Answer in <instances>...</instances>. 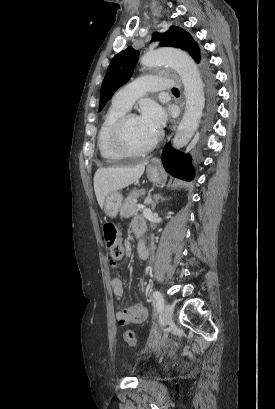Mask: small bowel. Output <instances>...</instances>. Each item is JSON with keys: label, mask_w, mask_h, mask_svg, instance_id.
<instances>
[{"label": "small bowel", "mask_w": 275, "mask_h": 409, "mask_svg": "<svg viewBox=\"0 0 275 409\" xmlns=\"http://www.w3.org/2000/svg\"><path fill=\"white\" fill-rule=\"evenodd\" d=\"M137 220H142V219H136L133 222V228H134V224H135V222ZM129 252H130V250L127 249V253H129ZM139 255L143 260L147 259L148 250L146 249L145 255H141L140 253H139ZM138 287H139L140 290H144L145 282L140 281L138 283ZM112 289H113V293L115 294V296H117V297L123 296V294H124V284H123L122 280L119 279V278H114L112 280ZM147 316H148L147 309L142 304H135L133 306L121 309L117 314L118 321H119V323L121 325L129 324V323L144 322L147 319Z\"/></svg>", "instance_id": "obj_1"}]
</instances>
